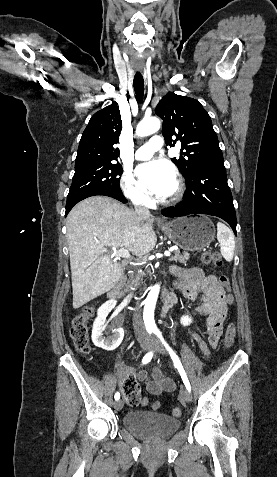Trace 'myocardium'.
I'll return each mask as SVG.
<instances>
[{"label":"myocardium","instance_id":"1","mask_svg":"<svg viewBox=\"0 0 277 477\" xmlns=\"http://www.w3.org/2000/svg\"><path fill=\"white\" fill-rule=\"evenodd\" d=\"M184 183L182 180L178 179L176 182V189L174 193L164 202L167 205H171L180 201L184 195Z\"/></svg>","mask_w":277,"mask_h":477}]
</instances>
